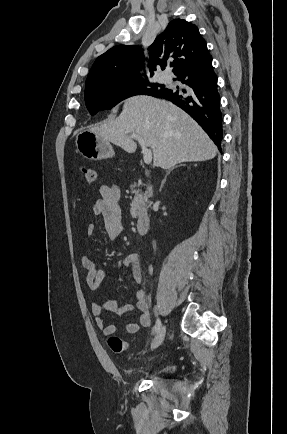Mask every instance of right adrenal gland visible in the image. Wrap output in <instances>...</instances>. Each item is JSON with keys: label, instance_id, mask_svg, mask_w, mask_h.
Listing matches in <instances>:
<instances>
[{"label": "right adrenal gland", "instance_id": "obj_1", "mask_svg": "<svg viewBox=\"0 0 287 434\" xmlns=\"http://www.w3.org/2000/svg\"><path fill=\"white\" fill-rule=\"evenodd\" d=\"M184 166H185V164H184ZM176 167H177V166H176ZM176 167L171 168V169L167 172V174H166V176H165V178H164V180H163V182H162V186H163V184H164L165 181H166L167 175H169V173H170L173 169H175Z\"/></svg>", "mask_w": 287, "mask_h": 434}]
</instances>
